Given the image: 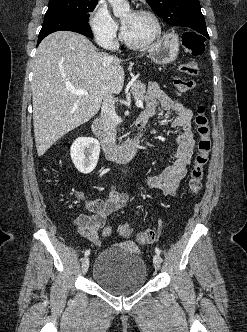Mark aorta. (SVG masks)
<instances>
[{"instance_id": "762f6f07", "label": "aorta", "mask_w": 247, "mask_h": 332, "mask_svg": "<svg viewBox=\"0 0 247 332\" xmlns=\"http://www.w3.org/2000/svg\"><path fill=\"white\" fill-rule=\"evenodd\" d=\"M115 16L120 17L130 11V5L126 0H108Z\"/></svg>"}]
</instances>
